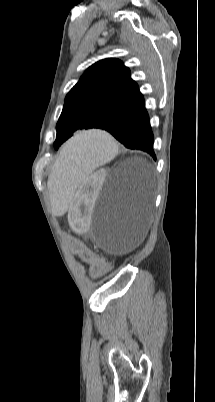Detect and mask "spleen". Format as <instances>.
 I'll list each match as a JSON object with an SVG mask.
<instances>
[{
  "label": "spleen",
  "mask_w": 215,
  "mask_h": 402,
  "mask_svg": "<svg viewBox=\"0 0 215 402\" xmlns=\"http://www.w3.org/2000/svg\"><path fill=\"white\" fill-rule=\"evenodd\" d=\"M117 145L107 128H81L72 139L63 143L57 164L51 170V185L55 202L53 213L64 215L74 202L73 193L82 191L81 184L90 182L97 167L109 161L117 153Z\"/></svg>",
  "instance_id": "3e777b00"
}]
</instances>
